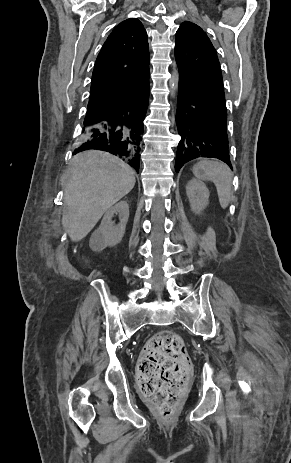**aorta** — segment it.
<instances>
[{"label":"aorta","mask_w":291,"mask_h":463,"mask_svg":"<svg viewBox=\"0 0 291 463\" xmlns=\"http://www.w3.org/2000/svg\"><path fill=\"white\" fill-rule=\"evenodd\" d=\"M178 82H179L178 73L176 71H174L173 74H172V77H171V79L169 81V86L171 88L172 94L177 89Z\"/></svg>","instance_id":"obj_1"}]
</instances>
